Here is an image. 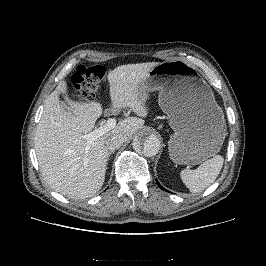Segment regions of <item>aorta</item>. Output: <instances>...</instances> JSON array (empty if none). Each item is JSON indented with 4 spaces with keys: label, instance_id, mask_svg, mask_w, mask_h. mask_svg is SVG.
<instances>
[{
    "label": "aorta",
    "instance_id": "obj_1",
    "mask_svg": "<svg viewBox=\"0 0 266 266\" xmlns=\"http://www.w3.org/2000/svg\"><path fill=\"white\" fill-rule=\"evenodd\" d=\"M161 143L159 137L150 130L142 131L134 141V148L141 149L147 157L155 156L160 149Z\"/></svg>",
    "mask_w": 266,
    "mask_h": 266
}]
</instances>
